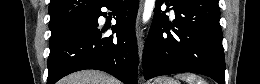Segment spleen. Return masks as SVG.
Returning a JSON list of instances; mask_svg holds the SVG:
<instances>
[{
    "mask_svg": "<svg viewBox=\"0 0 260 84\" xmlns=\"http://www.w3.org/2000/svg\"><path fill=\"white\" fill-rule=\"evenodd\" d=\"M176 77L186 81L188 84H207L201 76L193 73L178 74Z\"/></svg>",
    "mask_w": 260,
    "mask_h": 84,
    "instance_id": "obj_1",
    "label": "spleen"
}]
</instances>
